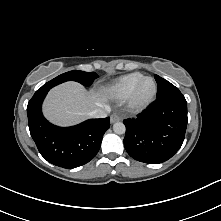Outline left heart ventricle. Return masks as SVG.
<instances>
[{"instance_id":"obj_1","label":"left heart ventricle","mask_w":221,"mask_h":221,"mask_svg":"<svg viewBox=\"0 0 221 221\" xmlns=\"http://www.w3.org/2000/svg\"><path fill=\"white\" fill-rule=\"evenodd\" d=\"M153 90V83L150 80H147L143 83L139 91L140 98L148 97Z\"/></svg>"}]
</instances>
